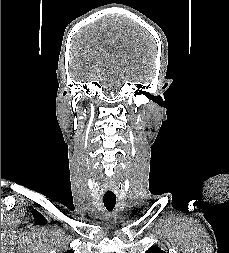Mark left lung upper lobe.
<instances>
[{
    "label": "left lung upper lobe",
    "mask_w": 229,
    "mask_h": 253,
    "mask_svg": "<svg viewBox=\"0 0 229 253\" xmlns=\"http://www.w3.org/2000/svg\"><path fill=\"white\" fill-rule=\"evenodd\" d=\"M146 253H166V252L162 251L160 248L155 246V247L148 249L146 251Z\"/></svg>",
    "instance_id": "5c2ea615"
}]
</instances>
